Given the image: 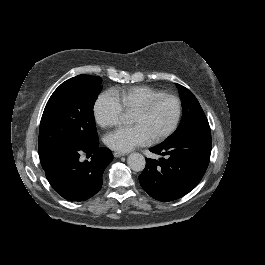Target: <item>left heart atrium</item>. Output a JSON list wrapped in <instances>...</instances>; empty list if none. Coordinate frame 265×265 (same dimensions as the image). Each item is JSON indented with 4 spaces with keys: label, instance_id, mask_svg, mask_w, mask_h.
<instances>
[{
    "label": "left heart atrium",
    "instance_id": "obj_1",
    "mask_svg": "<svg viewBox=\"0 0 265 265\" xmlns=\"http://www.w3.org/2000/svg\"><path fill=\"white\" fill-rule=\"evenodd\" d=\"M151 136L142 125L119 127L105 137L106 145L115 151L128 152L151 140Z\"/></svg>",
    "mask_w": 265,
    "mask_h": 265
}]
</instances>
